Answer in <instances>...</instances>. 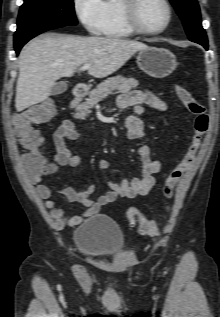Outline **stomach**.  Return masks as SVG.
I'll use <instances>...</instances> for the list:
<instances>
[{
    "label": "stomach",
    "instance_id": "obj_1",
    "mask_svg": "<svg viewBox=\"0 0 220 317\" xmlns=\"http://www.w3.org/2000/svg\"><path fill=\"white\" fill-rule=\"evenodd\" d=\"M137 64L149 76L163 78L175 70L177 61L175 55L168 49L147 47L139 51Z\"/></svg>",
    "mask_w": 220,
    "mask_h": 317
}]
</instances>
